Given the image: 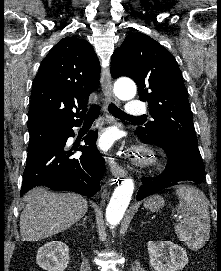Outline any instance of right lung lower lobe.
Returning a JSON list of instances; mask_svg holds the SVG:
<instances>
[{"label": "right lung lower lobe", "instance_id": "right-lung-lower-lobe-1", "mask_svg": "<svg viewBox=\"0 0 221 271\" xmlns=\"http://www.w3.org/2000/svg\"><path fill=\"white\" fill-rule=\"evenodd\" d=\"M82 121L65 127L59 140L36 146L28 150L20 196L34 187L46 186L56 191H73L93 196L100 190L105 160L96 148L97 134L90 131L84 137L85 144L79 158H72V150L65 149L66 141L74 136L72 127Z\"/></svg>", "mask_w": 221, "mask_h": 271}]
</instances>
